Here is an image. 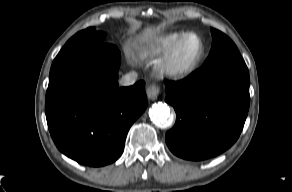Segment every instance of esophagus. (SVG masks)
Instances as JSON below:
<instances>
[{
    "mask_svg": "<svg viewBox=\"0 0 292 192\" xmlns=\"http://www.w3.org/2000/svg\"><path fill=\"white\" fill-rule=\"evenodd\" d=\"M160 94V87L157 85H151L147 89V96L150 100H156Z\"/></svg>",
    "mask_w": 292,
    "mask_h": 192,
    "instance_id": "obj_1",
    "label": "esophagus"
}]
</instances>
